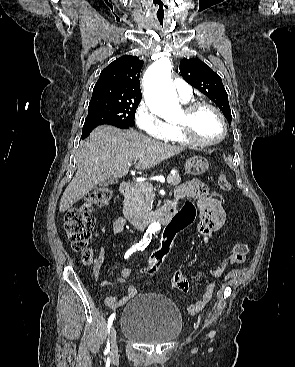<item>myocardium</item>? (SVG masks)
<instances>
[{
  "instance_id": "myocardium-1",
  "label": "myocardium",
  "mask_w": 295,
  "mask_h": 367,
  "mask_svg": "<svg viewBox=\"0 0 295 367\" xmlns=\"http://www.w3.org/2000/svg\"><path fill=\"white\" fill-rule=\"evenodd\" d=\"M201 108H209L217 115L222 126V133L219 138L212 141H203L195 135L192 127V119L196 114V112ZM183 112L185 114L184 119L182 121L177 122L176 125L178 126L183 136L191 144L201 147H210L221 143L225 139L228 131L227 123L224 118V115L215 105L205 101L194 102L187 105Z\"/></svg>"
}]
</instances>
